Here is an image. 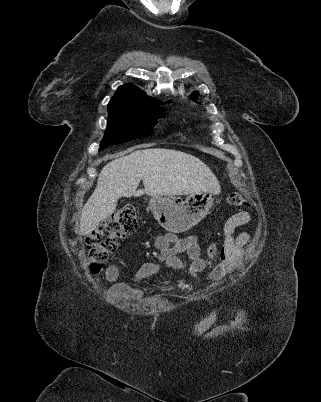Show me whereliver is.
I'll return each mask as SVG.
<instances>
[{
	"mask_svg": "<svg viewBox=\"0 0 321 402\" xmlns=\"http://www.w3.org/2000/svg\"><path fill=\"white\" fill-rule=\"evenodd\" d=\"M141 180L144 189L137 190ZM202 191L218 194L220 184L199 158L172 149H138L102 168L97 186L82 209L79 232L89 235L113 214L121 197L189 195Z\"/></svg>",
	"mask_w": 321,
	"mask_h": 402,
	"instance_id": "6515ba94",
	"label": "liver"
}]
</instances>
